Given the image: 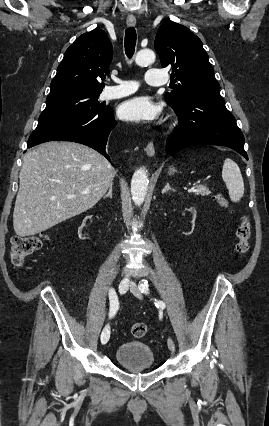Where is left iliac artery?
<instances>
[{"instance_id":"left-iliac-artery-1","label":"left iliac artery","mask_w":269,"mask_h":426,"mask_svg":"<svg viewBox=\"0 0 269 426\" xmlns=\"http://www.w3.org/2000/svg\"><path fill=\"white\" fill-rule=\"evenodd\" d=\"M139 290L142 293H145V294L149 293L148 282L146 280H142V283H140V285H139ZM155 306L157 308H163L164 309L166 305L163 301H157L155 299Z\"/></svg>"}]
</instances>
